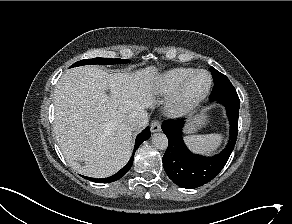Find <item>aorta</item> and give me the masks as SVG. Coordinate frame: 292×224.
<instances>
[{"label":"aorta","instance_id":"obj_1","mask_svg":"<svg viewBox=\"0 0 292 224\" xmlns=\"http://www.w3.org/2000/svg\"><path fill=\"white\" fill-rule=\"evenodd\" d=\"M153 145L159 150H165L168 147V138L164 133H156L152 136Z\"/></svg>","mask_w":292,"mask_h":224}]
</instances>
